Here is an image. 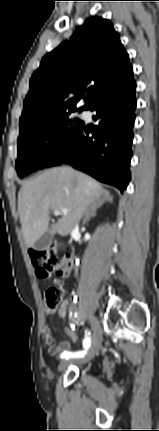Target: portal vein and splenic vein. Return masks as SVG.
Masks as SVG:
<instances>
[{
	"label": "portal vein and splenic vein",
	"mask_w": 159,
	"mask_h": 431,
	"mask_svg": "<svg viewBox=\"0 0 159 431\" xmlns=\"http://www.w3.org/2000/svg\"><path fill=\"white\" fill-rule=\"evenodd\" d=\"M67 213H68V210H67V209H63V210H61V211H58V210L54 211V215H55V216H59L60 214H64V215H66Z\"/></svg>",
	"instance_id": "1"
}]
</instances>
